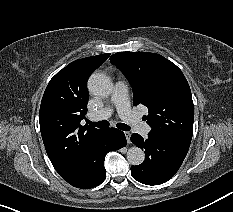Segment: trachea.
Listing matches in <instances>:
<instances>
[{
	"label": "trachea",
	"mask_w": 233,
	"mask_h": 212,
	"mask_svg": "<svg viewBox=\"0 0 233 212\" xmlns=\"http://www.w3.org/2000/svg\"><path fill=\"white\" fill-rule=\"evenodd\" d=\"M87 123L90 124L93 127H98V128H107L109 127V122L107 120L103 121H98V122H91L87 120ZM117 128L123 130V131H129L130 127L124 123H117Z\"/></svg>",
	"instance_id": "obj_1"
}]
</instances>
